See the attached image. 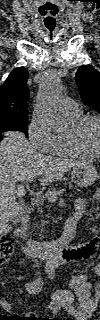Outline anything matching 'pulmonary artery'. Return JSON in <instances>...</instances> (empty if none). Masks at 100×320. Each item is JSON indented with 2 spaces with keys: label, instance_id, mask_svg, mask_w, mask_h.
<instances>
[{
  "label": "pulmonary artery",
  "instance_id": "e3ab8cb5",
  "mask_svg": "<svg viewBox=\"0 0 100 320\" xmlns=\"http://www.w3.org/2000/svg\"><path fill=\"white\" fill-rule=\"evenodd\" d=\"M60 108L61 111L66 114V113H76L79 112V105L72 99L70 98H65L60 101Z\"/></svg>",
  "mask_w": 100,
  "mask_h": 320
}]
</instances>
